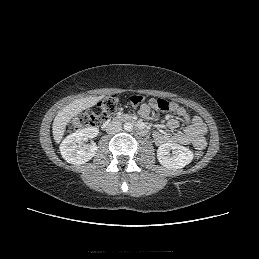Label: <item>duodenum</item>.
<instances>
[{
  "instance_id": "duodenum-1",
  "label": "duodenum",
  "mask_w": 259,
  "mask_h": 259,
  "mask_svg": "<svg viewBox=\"0 0 259 259\" xmlns=\"http://www.w3.org/2000/svg\"><path fill=\"white\" fill-rule=\"evenodd\" d=\"M116 121L135 123L136 126H137L138 133L140 135H146V130L144 129V127L141 124L137 123L136 119L131 115L124 114V115H120V116H115V117H112V118L108 119L106 123L108 125V124H111V123L116 122Z\"/></svg>"
}]
</instances>
